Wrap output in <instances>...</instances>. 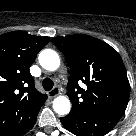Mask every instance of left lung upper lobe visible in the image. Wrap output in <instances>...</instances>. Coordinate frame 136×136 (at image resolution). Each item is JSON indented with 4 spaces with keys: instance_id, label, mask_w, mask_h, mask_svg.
Wrapping results in <instances>:
<instances>
[{
    "instance_id": "1",
    "label": "left lung upper lobe",
    "mask_w": 136,
    "mask_h": 136,
    "mask_svg": "<svg viewBox=\"0 0 136 136\" xmlns=\"http://www.w3.org/2000/svg\"><path fill=\"white\" fill-rule=\"evenodd\" d=\"M53 44L65 55L70 68L67 85L71 112L121 118L130 85L120 55L107 43L83 34L55 37ZM87 85V90L79 84Z\"/></svg>"
}]
</instances>
